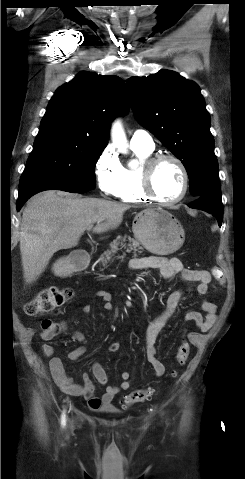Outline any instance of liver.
I'll use <instances>...</instances> for the list:
<instances>
[{"label": "liver", "instance_id": "obj_1", "mask_svg": "<svg viewBox=\"0 0 245 479\" xmlns=\"http://www.w3.org/2000/svg\"><path fill=\"white\" fill-rule=\"evenodd\" d=\"M129 205L45 191L31 198L20 224V252L26 283L45 270L53 254L76 246L89 227L94 233L116 229Z\"/></svg>", "mask_w": 245, "mask_h": 479}]
</instances>
